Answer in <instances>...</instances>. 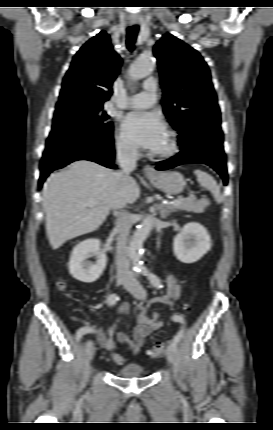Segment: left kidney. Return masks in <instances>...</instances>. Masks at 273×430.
<instances>
[{
    "label": "left kidney",
    "instance_id": "1",
    "mask_svg": "<svg viewBox=\"0 0 273 430\" xmlns=\"http://www.w3.org/2000/svg\"><path fill=\"white\" fill-rule=\"evenodd\" d=\"M212 243L207 229L197 223L185 224L181 232L174 237L173 250L178 260L194 263L200 260L210 249Z\"/></svg>",
    "mask_w": 273,
    "mask_h": 430
}]
</instances>
